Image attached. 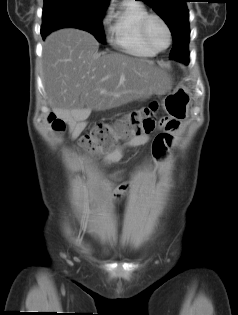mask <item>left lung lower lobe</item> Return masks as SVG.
Masks as SVG:
<instances>
[{
    "label": "left lung lower lobe",
    "mask_w": 238,
    "mask_h": 315,
    "mask_svg": "<svg viewBox=\"0 0 238 315\" xmlns=\"http://www.w3.org/2000/svg\"><path fill=\"white\" fill-rule=\"evenodd\" d=\"M188 44L189 39L183 34H174L173 47L170 57H172V59L187 63L189 61Z\"/></svg>",
    "instance_id": "left-lung-lower-lobe-1"
}]
</instances>
